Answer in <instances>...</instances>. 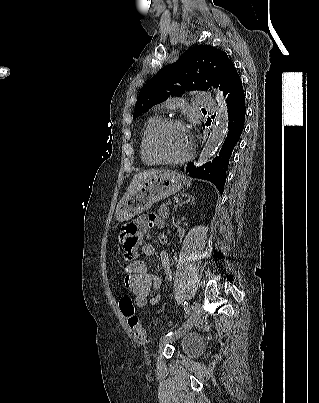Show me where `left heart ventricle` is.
Wrapping results in <instances>:
<instances>
[{"label": "left heart ventricle", "instance_id": "b2bd125f", "mask_svg": "<svg viewBox=\"0 0 319 403\" xmlns=\"http://www.w3.org/2000/svg\"><path fill=\"white\" fill-rule=\"evenodd\" d=\"M190 147L188 131L181 126H169L159 135L157 149L159 153L169 159L184 156Z\"/></svg>", "mask_w": 319, "mask_h": 403}]
</instances>
